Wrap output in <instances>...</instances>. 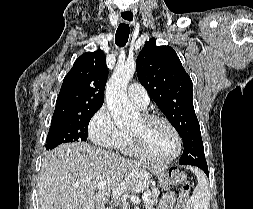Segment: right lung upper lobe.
<instances>
[{
  "instance_id": "cb5924a9",
  "label": "right lung upper lobe",
  "mask_w": 253,
  "mask_h": 209,
  "mask_svg": "<svg viewBox=\"0 0 253 209\" xmlns=\"http://www.w3.org/2000/svg\"><path fill=\"white\" fill-rule=\"evenodd\" d=\"M107 77L106 57L102 50L82 54L63 80L53 118L100 109Z\"/></svg>"
}]
</instances>
